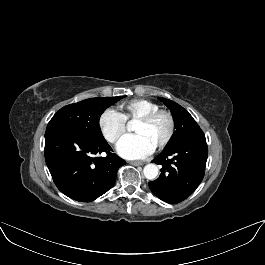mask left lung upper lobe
I'll return each mask as SVG.
<instances>
[{
    "label": "left lung upper lobe",
    "instance_id": "1",
    "mask_svg": "<svg viewBox=\"0 0 265 265\" xmlns=\"http://www.w3.org/2000/svg\"><path fill=\"white\" fill-rule=\"evenodd\" d=\"M159 100L170 109L176 128V131H174L166 147H170L178 142L203 133L199 125L186 109L172 100L165 98H159Z\"/></svg>",
    "mask_w": 265,
    "mask_h": 265
}]
</instances>
